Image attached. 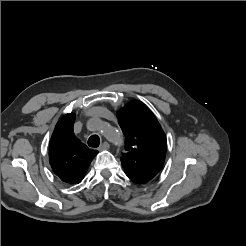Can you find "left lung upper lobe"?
<instances>
[{
	"label": "left lung upper lobe",
	"instance_id": "left-lung-upper-lobe-1",
	"mask_svg": "<svg viewBox=\"0 0 246 246\" xmlns=\"http://www.w3.org/2000/svg\"><path fill=\"white\" fill-rule=\"evenodd\" d=\"M125 136L121 163L128 177L146 183L157 175L166 155V136L151 110L141 101L126 104L117 112Z\"/></svg>",
	"mask_w": 246,
	"mask_h": 246
}]
</instances>
